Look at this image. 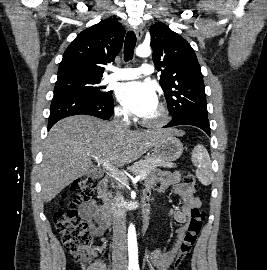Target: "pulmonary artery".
<instances>
[{
  "label": "pulmonary artery",
  "instance_id": "e3ab8cb5",
  "mask_svg": "<svg viewBox=\"0 0 267 270\" xmlns=\"http://www.w3.org/2000/svg\"><path fill=\"white\" fill-rule=\"evenodd\" d=\"M112 71L113 73L106 77V81L136 79L141 75H151L154 69L152 65L144 63L139 68H112Z\"/></svg>",
  "mask_w": 267,
  "mask_h": 270
}]
</instances>
